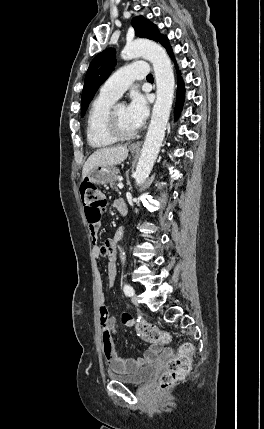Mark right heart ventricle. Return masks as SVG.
<instances>
[{"label":"right heart ventricle","mask_w":264,"mask_h":429,"mask_svg":"<svg viewBox=\"0 0 264 429\" xmlns=\"http://www.w3.org/2000/svg\"><path fill=\"white\" fill-rule=\"evenodd\" d=\"M115 100L100 93L91 104L86 120V136L92 148H106L117 142L106 128L107 116Z\"/></svg>","instance_id":"right-heart-ventricle-1"}]
</instances>
